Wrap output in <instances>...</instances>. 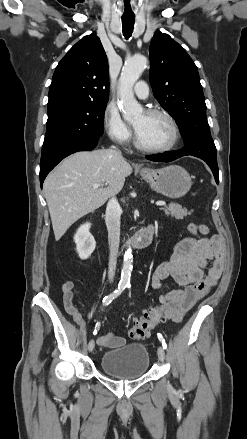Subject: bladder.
Returning <instances> with one entry per match:
<instances>
[{"instance_id":"31cf9c89","label":"bladder","mask_w":247,"mask_h":439,"mask_svg":"<svg viewBox=\"0 0 247 439\" xmlns=\"http://www.w3.org/2000/svg\"><path fill=\"white\" fill-rule=\"evenodd\" d=\"M149 352L143 344H126L105 352L100 361L101 369L107 375L118 379H135L149 369Z\"/></svg>"}]
</instances>
